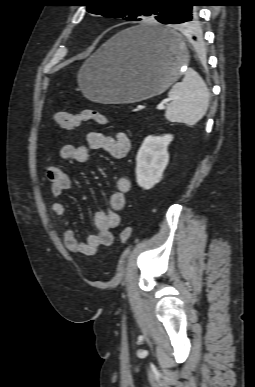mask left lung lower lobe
Returning <instances> with one entry per match:
<instances>
[{"label":"left lung lower lobe","instance_id":"0a47b994","mask_svg":"<svg viewBox=\"0 0 255 387\" xmlns=\"http://www.w3.org/2000/svg\"><path fill=\"white\" fill-rule=\"evenodd\" d=\"M203 4L199 3V0H184L177 2L173 5L169 19L165 24H180L182 26L188 27V32L191 33L197 23V12L195 6H200ZM146 39H149L153 42L164 43L168 41V36L166 33L160 30H146L140 33ZM195 40H201L199 35L193 37Z\"/></svg>","mask_w":255,"mask_h":387}]
</instances>
